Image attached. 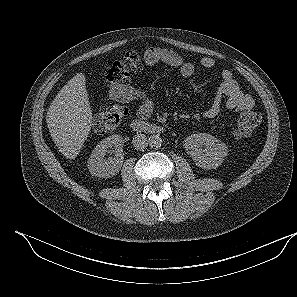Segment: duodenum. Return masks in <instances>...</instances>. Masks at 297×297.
<instances>
[{
    "label": "duodenum",
    "mask_w": 297,
    "mask_h": 297,
    "mask_svg": "<svg viewBox=\"0 0 297 297\" xmlns=\"http://www.w3.org/2000/svg\"><path fill=\"white\" fill-rule=\"evenodd\" d=\"M130 128L137 133H153L161 134L164 132V127L157 123L145 122L139 119L133 120Z\"/></svg>",
    "instance_id": "410a0bca"
}]
</instances>
